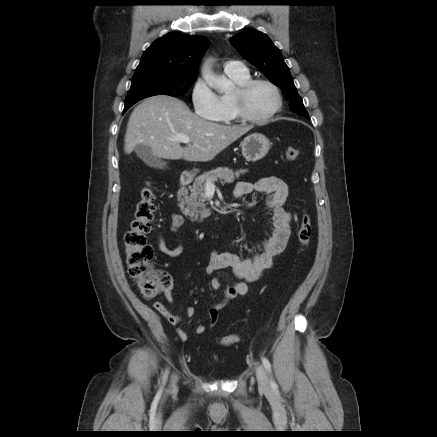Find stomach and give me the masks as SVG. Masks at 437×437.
Segmentation results:
<instances>
[{
	"instance_id": "obj_1",
	"label": "stomach",
	"mask_w": 437,
	"mask_h": 437,
	"mask_svg": "<svg viewBox=\"0 0 437 437\" xmlns=\"http://www.w3.org/2000/svg\"><path fill=\"white\" fill-rule=\"evenodd\" d=\"M270 145V141L263 134H250L241 142L242 155L247 161L255 162L266 156Z\"/></svg>"
}]
</instances>
